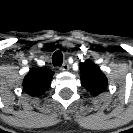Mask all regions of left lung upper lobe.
<instances>
[{
  "label": "left lung upper lobe",
  "mask_w": 133,
  "mask_h": 133,
  "mask_svg": "<svg viewBox=\"0 0 133 133\" xmlns=\"http://www.w3.org/2000/svg\"><path fill=\"white\" fill-rule=\"evenodd\" d=\"M79 69L83 86L93 96H98L106 90L108 80L98 65L91 60H85V62L79 64Z\"/></svg>",
  "instance_id": "5c2ea615"
}]
</instances>
